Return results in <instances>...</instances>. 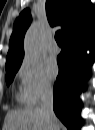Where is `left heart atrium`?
Returning <instances> with one entry per match:
<instances>
[{
  "label": "left heart atrium",
  "mask_w": 95,
  "mask_h": 130,
  "mask_svg": "<svg viewBox=\"0 0 95 130\" xmlns=\"http://www.w3.org/2000/svg\"><path fill=\"white\" fill-rule=\"evenodd\" d=\"M46 71L49 77L55 78L58 75L59 67L56 59L49 58L46 62Z\"/></svg>",
  "instance_id": "1"
}]
</instances>
